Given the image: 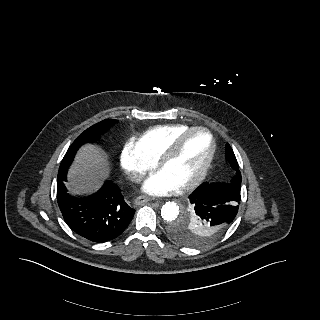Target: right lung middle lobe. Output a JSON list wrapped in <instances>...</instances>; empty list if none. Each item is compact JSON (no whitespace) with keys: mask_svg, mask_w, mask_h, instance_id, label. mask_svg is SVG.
I'll use <instances>...</instances> for the list:
<instances>
[{"mask_svg":"<svg viewBox=\"0 0 320 320\" xmlns=\"http://www.w3.org/2000/svg\"><path fill=\"white\" fill-rule=\"evenodd\" d=\"M115 120L106 119L97 124L89 127L84 132H82L77 139L73 142V144L69 147L66 152L59 171H58V179L62 177H66L69 166L71 165L74 156L77 150L85 143H90L96 141L100 135H102L105 131H107Z\"/></svg>","mask_w":320,"mask_h":320,"instance_id":"dd1d6c3e","label":"right lung middle lobe"}]
</instances>
